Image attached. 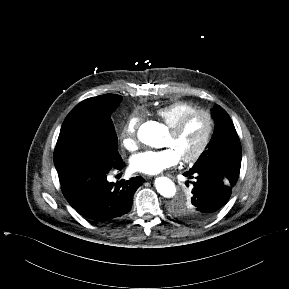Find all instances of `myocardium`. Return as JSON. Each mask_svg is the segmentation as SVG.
<instances>
[{
    "mask_svg": "<svg viewBox=\"0 0 289 289\" xmlns=\"http://www.w3.org/2000/svg\"><path fill=\"white\" fill-rule=\"evenodd\" d=\"M196 115H203L206 117L207 119V124H208V128H207V132L206 135L201 143V145L199 146V148L190 156H186V157H182L180 158L182 162L184 163H193L196 162L198 159L201 158V156L206 152L213 133H214V128H215V123H214V119L213 116L211 115V113L207 110L204 109H195L192 110L190 112H187L186 114H184L182 117H180L177 122L175 124H173L171 127H169V132L172 135H178L182 129L184 128V126L186 125V123L194 116Z\"/></svg>",
    "mask_w": 289,
    "mask_h": 289,
    "instance_id": "f54148a6",
    "label": "myocardium"
}]
</instances>
